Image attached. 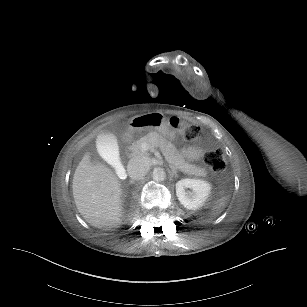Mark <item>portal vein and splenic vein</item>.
<instances>
[{
    "mask_svg": "<svg viewBox=\"0 0 307 307\" xmlns=\"http://www.w3.org/2000/svg\"><path fill=\"white\" fill-rule=\"evenodd\" d=\"M149 148H153V146H150L148 143H145L141 148L140 151L142 153H145Z\"/></svg>",
    "mask_w": 307,
    "mask_h": 307,
    "instance_id": "1",
    "label": "portal vein and splenic vein"
}]
</instances>
